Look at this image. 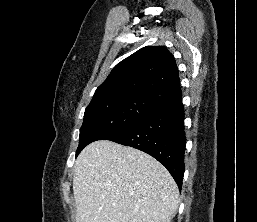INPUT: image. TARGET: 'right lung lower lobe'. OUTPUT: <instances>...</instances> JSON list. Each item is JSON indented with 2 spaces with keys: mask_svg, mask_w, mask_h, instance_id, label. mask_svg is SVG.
<instances>
[{
  "mask_svg": "<svg viewBox=\"0 0 257 222\" xmlns=\"http://www.w3.org/2000/svg\"><path fill=\"white\" fill-rule=\"evenodd\" d=\"M184 107L182 98L158 109L107 140L139 149L163 164L182 187L184 175Z\"/></svg>",
  "mask_w": 257,
  "mask_h": 222,
  "instance_id": "1",
  "label": "right lung lower lobe"
}]
</instances>
